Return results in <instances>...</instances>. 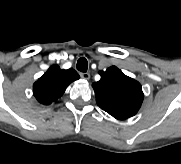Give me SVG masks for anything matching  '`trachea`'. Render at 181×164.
Here are the masks:
<instances>
[{
  "label": "trachea",
  "mask_w": 181,
  "mask_h": 164,
  "mask_svg": "<svg viewBox=\"0 0 181 164\" xmlns=\"http://www.w3.org/2000/svg\"><path fill=\"white\" fill-rule=\"evenodd\" d=\"M76 67L81 72H84V73L87 72V69H88L87 59L85 57L79 58L77 61Z\"/></svg>",
  "instance_id": "trachea-1"
}]
</instances>
